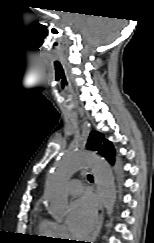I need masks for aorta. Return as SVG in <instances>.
Segmentation results:
<instances>
[{"label":"aorta","mask_w":154,"mask_h":243,"mask_svg":"<svg viewBox=\"0 0 154 243\" xmlns=\"http://www.w3.org/2000/svg\"><path fill=\"white\" fill-rule=\"evenodd\" d=\"M92 169L102 202L110 215L115 203V184L110 166L103 159L88 151L65 152L55 163L46 181L45 199L48 212L58 221L68 210L66 185L81 168Z\"/></svg>","instance_id":"obj_1"}]
</instances>
